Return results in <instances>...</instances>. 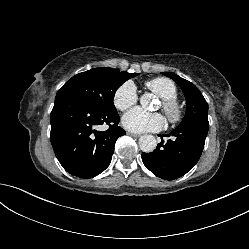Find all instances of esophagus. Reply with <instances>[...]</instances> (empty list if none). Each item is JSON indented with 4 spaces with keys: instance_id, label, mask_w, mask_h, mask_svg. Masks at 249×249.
<instances>
[{
    "instance_id": "1",
    "label": "esophagus",
    "mask_w": 249,
    "mask_h": 249,
    "mask_svg": "<svg viewBox=\"0 0 249 249\" xmlns=\"http://www.w3.org/2000/svg\"><path fill=\"white\" fill-rule=\"evenodd\" d=\"M127 134H128L129 136H132V137H139V136H140L139 134L132 133V132H127Z\"/></svg>"
}]
</instances>
